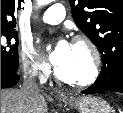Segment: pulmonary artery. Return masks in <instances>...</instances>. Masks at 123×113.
Here are the masks:
<instances>
[{
	"label": "pulmonary artery",
	"mask_w": 123,
	"mask_h": 113,
	"mask_svg": "<svg viewBox=\"0 0 123 113\" xmlns=\"http://www.w3.org/2000/svg\"><path fill=\"white\" fill-rule=\"evenodd\" d=\"M65 18V8L62 4H53L42 14L41 20L47 24H58Z\"/></svg>",
	"instance_id": "obj_1"
}]
</instances>
